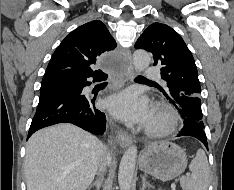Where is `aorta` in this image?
<instances>
[{
    "label": "aorta",
    "instance_id": "aorta-1",
    "mask_svg": "<svg viewBox=\"0 0 234 190\" xmlns=\"http://www.w3.org/2000/svg\"><path fill=\"white\" fill-rule=\"evenodd\" d=\"M150 55L144 50H136L133 63L137 70L142 71L150 64ZM137 158V147L130 146L123 154L118 172V182L121 190H130Z\"/></svg>",
    "mask_w": 234,
    "mask_h": 190
}]
</instances>
